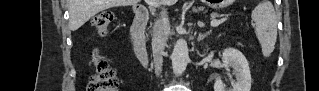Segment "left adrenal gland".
I'll return each mask as SVG.
<instances>
[{
	"label": "left adrenal gland",
	"instance_id": "a2214340",
	"mask_svg": "<svg viewBox=\"0 0 319 91\" xmlns=\"http://www.w3.org/2000/svg\"><path fill=\"white\" fill-rule=\"evenodd\" d=\"M210 33H211V31H208V32L203 33V34H202V33H199L197 40H198L199 42L202 41V40L205 39Z\"/></svg>",
	"mask_w": 319,
	"mask_h": 91
}]
</instances>
